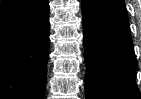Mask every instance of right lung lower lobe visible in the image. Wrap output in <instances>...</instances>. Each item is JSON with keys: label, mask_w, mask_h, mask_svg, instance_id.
Returning a JSON list of instances; mask_svg holds the SVG:
<instances>
[{"label": "right lung lower lobe", "mask_w": 141, "mask_h": 99, "mask_svg": "<svg viewBox=\"0 0 141 99\" xmlns=\"http://www.w3.org/2000/svg\"><path fill=\"white\" fill-rule=\"evenodd\" d=\"M48 0L0 6V99H43L49 50Z\"/></svg>", "instance_id": "98d812e1"}]
</instances>
